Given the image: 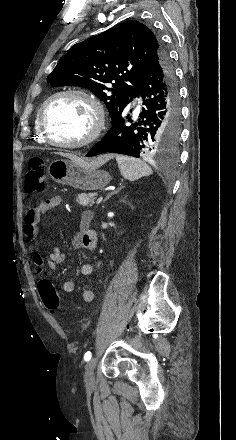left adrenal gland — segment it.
<instances>
[{
    "label": "left adrenal gland",
    "mask_w": 236,
    "mask_h": 440,
    "mask_svg": "<svg viewBox=\"0 0 236 440\" xmlns=\"http://www.w3.org/2000/svg\"><path fill=\"white\" fill-rule=\"evenodd\" d=\"M122 188H123V186H121L117 191H115V192L111 193L110 195H108L105 200H107L111 195H113L115 193H118Z\"/></svg>",
    "instance_id": "left-adrenal-gland-1"
}]
</instances>
